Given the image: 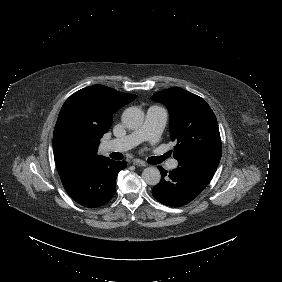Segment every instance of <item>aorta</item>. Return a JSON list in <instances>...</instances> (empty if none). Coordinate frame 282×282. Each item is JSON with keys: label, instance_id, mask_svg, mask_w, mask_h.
<instances>
[{"label": "aorta", "instance_id": "762f6f07", "mask_svg": "<svg viewBox=\"0 0 282 282\" xmlns=\"http://www.w3.org/2000/svg\"><path fill=\"white\" fill-rule=\"evenodd\" d=\"M144 112L137 106H132L124 110L122 122L128 129H137L144 122ZM142 179L147 185H157L160 182L161 174L156 167H147L142 172Z\"/></svg>", "mask_w": 282, "mask_h": 282}]
</instances>
